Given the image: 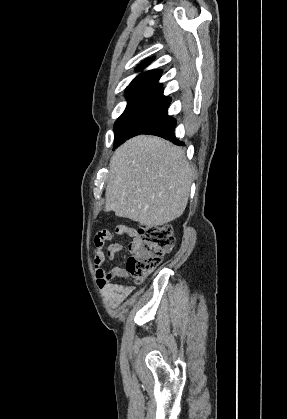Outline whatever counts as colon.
<instances>
[{"label": "colon", "mask_w": 287, "mask_h": 419, "mask_svg": "<svg viewBox=\"0 0 287 419\" xmlns=\"http://www.w3.org/2000/svg\"><path fill=\"white\" fill-rule=\"evenodd\" d=\"M96 241H105L104 233L96 237ZM174 236L168 226L139 227L136 237L130 244L131 255L127 261V271L141 283L162 262L165 254L171 251Z\"/></svg>", "instance_id": "colon-1"}]
</instances>
